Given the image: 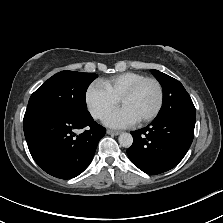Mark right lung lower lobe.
<instances>
[{
    "label": "right lung lower lobe",
    "instance_id": "98d812e1",
    "mask_svg": "<svg viewBox=\"0 0 223 223\" xmlns=\"http://www.w3.org/2000/svg\"><path fill=\"white\" fill-rule=\"evenodd\" d=\"M24 134L35 162L48 174L70 179L90 164L106 129L93 118L45 116L24 121ZM89 130L76 135V129Z\"/></svg>",
    "mask_w": 223,
    "mask_h": 223
}]
</instances>
